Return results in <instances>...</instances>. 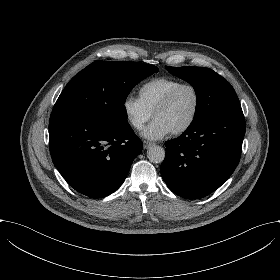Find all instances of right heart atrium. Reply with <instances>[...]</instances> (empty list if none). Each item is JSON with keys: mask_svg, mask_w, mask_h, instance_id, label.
Listing matches in <instances>:
<instances>
[{"mask_svg": "<svg viewBox=\"0 0 280 280\" xmlns=\"http://www.w3.org/2000/svg\"><path fill=\"white\" fill-rule=\"evenodd\" d=\"M122 111L127 123L135 131H141L152 117V113L139 98L127 96L122 102Z\"/></svg>", "mask_w": 280, "mask_h": 280, "instance_id": "1", "label": "right heart atrium"}]
</instances>
